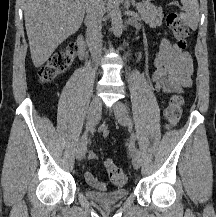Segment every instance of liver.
<instances>
[{
  "mask_svg": "<svg viewBox=\"0 0 216 217\" xmlns=\"http://www.w3.org/2000/svg\"><path fill=\"white\" fill-rule=\"evenodd\" d=\"M86 0H24L25 26L32 62L42 66L84 19Z\"/></svg>",
  "mask_w": 216,
  "mask_h": 217,
  "instance_id": "6515ba94",
  "label": "liver"
}]
</instances>
